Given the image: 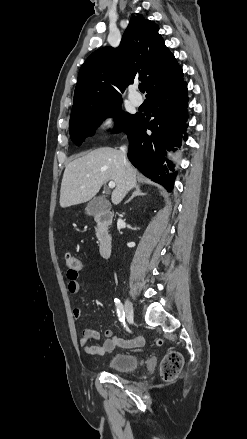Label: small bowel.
I'll use <instances>...</instances> for the list:
<instances>
[{
  "mask_svg": "<svg viewBox=\"0 0 247 439\" xmlns=\"http://www.w3.org/2000/svg\"><path fill=\"white\" fill-rule=\"evenodd\" d=\"M68 290L72 294H76L80 291L79 272L68 270ZM73 316L77 319L81 316V309L75 307L73 309ZM105 341L101 345H91V340H97L100 338L98 331L93 329H84L80 335V344L84 348V351L90 355L102 356L106 353L113 351L117 347L133 348L141 346L144 343V339L140 336L121 338L115 336L111 330L104 331Z\"/></svg>",
  "mask_w": 247,
  "mask_h": 439,
  "instance_id": "obj_1",
  "label": "small bowel"
}]
</instances>
